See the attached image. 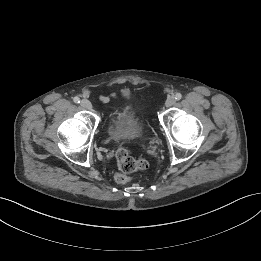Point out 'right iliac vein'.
<instances>
[{"label": "right iliac vein", "mask_w": 261, "mask_h": 261, "mask_svg": "<svg viewBox=\"0 0 261 261\" xmlns=\"http://www.w3.org/2000/svg\"><path fill=\"white\" fill-rule=\"evenodd\" d=\"M81 106H82L83 108H85V109H88V110L92 109V104H91V102H90L89 100H87V99H82V101H81Z\"/></svg>", "instance_id": "right-iliac-vein-1"}]
</instances>
